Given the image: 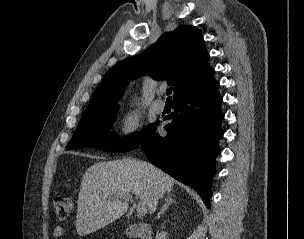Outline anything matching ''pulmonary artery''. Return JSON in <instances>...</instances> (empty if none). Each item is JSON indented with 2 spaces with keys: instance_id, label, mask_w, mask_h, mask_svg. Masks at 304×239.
I'll return each instance as SVG.
<instances>
[{
  "instance_id": "1",
  "label": "pulmonary artery",
  "mask_w": 304,
  "mask_h": 239,
  "mask_svg": "<svg viewBox=\"0 0 304 239\" xmlns=\"http://www.w3.org/2000/svg\"><path fill=\"white\" fill-rule=\"evenodd\" d=\"M163 92V90H159L158 94L161 95ZM154 108L157 112H162L165 108V102L161 99H157L154 102Z\"/></svg>"
}]
</instances>
